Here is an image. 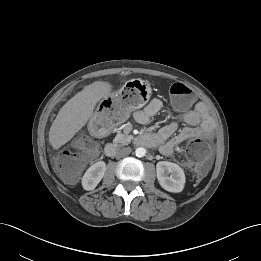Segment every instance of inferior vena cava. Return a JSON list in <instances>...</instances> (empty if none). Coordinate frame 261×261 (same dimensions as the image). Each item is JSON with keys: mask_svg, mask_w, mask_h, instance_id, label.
Returning <instances> with one entry per match:
<instances>
[{"mask_svg": "<svg viewBox=\"0 0 261 261\" xmlns=\"http://www.w3.org/2000/svg\"><path fill=\"white\" fill-rule=\"evenodd\" d=\"M132 149L130 147H124V148H120L116 151V158H122V157H126L131 153Z\"/></svg>", "mask_w": 261, "mask_h": 261, "instance_id": "602c4592", "label": "inferior vena cava"}]
</instances>
